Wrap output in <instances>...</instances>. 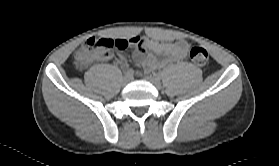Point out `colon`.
I'll return each instance as SVG.
<instances>
[{
  "mask_svg": "<svg viewBox=\"0 0 279 166\" xmlns=\"http://www.w3.org/2000/svg\"><path fill=\"white\" fill-rule=\"evenodd\" d=\"M130 44L125 39L90 38L74 54V65L78 69L88 67L93 61L108 56L113 49L124 50ZM191 61L205 67L209 62L208 52L200 46H192L189 50Z\"/></svg>",
  "mask_w": 279,
  "mask_h": 166,
  "instance_id": "5ec220e1",
  "label": "colon"
}]
</instances>
